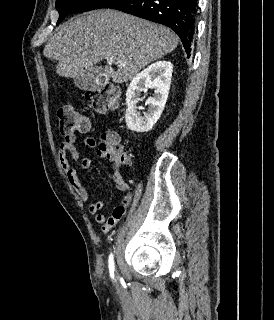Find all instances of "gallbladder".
I'll return each mask as SVG.
<instances>
[{"label":"gallbladder","mask_w":274,"mask_h":320,"mask_svg":"<svg viewBox=\"0 0 274 320\" xmlns=\"http://www.w3.org/2000/svg\"><path fill=\"white\" fill-rule=\"evenodd\" d=\"M110 74L104 68H78L74 84L80 90H101L102 85H109Z\"/></svg>","instance_id":"gallbladder-1"}]
</instances>
